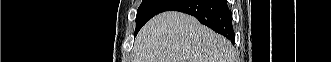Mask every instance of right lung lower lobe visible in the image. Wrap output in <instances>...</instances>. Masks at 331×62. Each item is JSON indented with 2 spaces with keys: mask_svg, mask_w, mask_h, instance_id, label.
<instances>
[{
  "mask_svg": "<svg viewBox=\"0 0 331 62\" xmlns=\"http://www.w3.org/2000/svg\"><path fill=\"white\" fill-rule=\"evenodd\" d=\"M180 11L196 17L200 23L222 34L234 44L232 13L226 0H173L161 12Z\"/></svg>",
  "mask_w": 331,
  "mask_h": 62,
  "instance_id": "right-lung-lower-lobe-1",
  "label": "right lung lower lobe"
}]
</instances>
